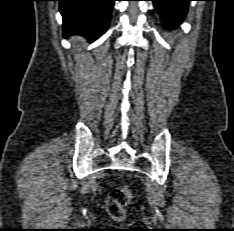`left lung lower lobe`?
I'll use <instances>...</instances> for the list:
<instances>
[{"label": "left lung lower lobe", "instance_id": "1", "mask_svg": "<svg viewBox=\"0 0 234 231\" xmlns=\"http://www.w3.org/2000/svg\"><path fill=\"white\" fill-rule=\"evenodd\" d=\"M161 16L164 26L173 28L179 25L186 13L191 0H152Z\"/></svg>", "mask_w": 234, "mask_h": 231}]
</instances>
